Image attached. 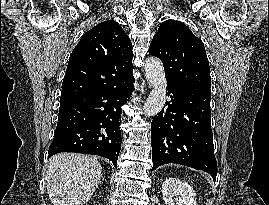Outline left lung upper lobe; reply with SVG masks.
I'll return each instance as SVG.
<instances>
[{"label":"left lung upper lobe","mask_w":269,"mask_h":205,"mask_svg":"<svg viewBox=\"0 0 269 205\" xmlns=\"http://www.w3.org/2000/svg\"><path fill=\"white\" fill-rule=\"evenodd\" d=\"M149 53L163 62L167 84L210 88V68L204 44L183 23L164 21L152 39Z\"/></svg>","instance_id":"1"}]
</instances>
